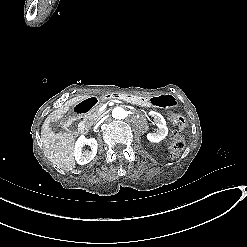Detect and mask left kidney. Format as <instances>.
I'll return each mask as SVG.
<instances>
[{"label": "left kidney", "mask_w": 247, "mask_h": 247, "mask_svg": "<svg viewBox=\"0 0 247 247\" xmlns=\"http://www.w3.org/2000/svg\"><path fill=\"white\" fill-rule=\"evenodd\" d=\"M150 115L154 116V118L156 119L158 130L153 134H148L146 138L150 143H160L165 140L168 134L166 121L162 117V115L157 112L151 111Z\"/></svg>", "instance_id": "obj_1"}]
</instances>
